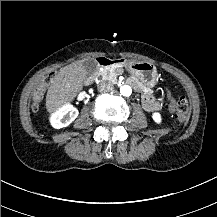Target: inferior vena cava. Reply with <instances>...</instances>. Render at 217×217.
Returning a JSON list of instances; mask_svg holds the SVG:
<instances>
[{"instance_id":"1","label":"inferior vena cava","mask_w":217,"mask_h":217,"mask_svg":"<svg viewBox=\"0 0 217 217\" xmlns=\"http://www.w3.org/2000/svg\"><path fill=\"white\" fill-rule=\"evenodd\" d=\"M98 90L102 93H107L112 90V85L107 81H102L98 85Z\"/></svg>"}]
</instances>
